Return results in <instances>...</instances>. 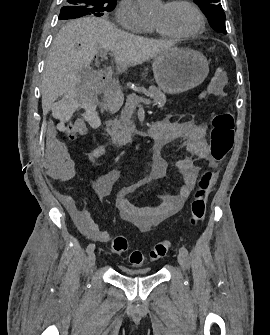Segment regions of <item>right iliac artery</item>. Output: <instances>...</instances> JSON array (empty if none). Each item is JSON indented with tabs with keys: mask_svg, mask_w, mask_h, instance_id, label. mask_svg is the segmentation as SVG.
Wrapping results in <instances>:
<instances>
[{
	"mask_svg": "<svg viewBox=\"0 0 270 335\" xmlns=\"http://www.w3.org/2000/svg\"><path fill=\"white\" fill-rule=\"evenodd\" d=\"M94 249H95V244L90 243V244L87 246L86 251H87L88 253H90L91 251H94Z\"/></svg>",
	"mask_w": 270,
	"mask_h": 335,
	"instance_id": "82829eb1",
	"label": "right iliac artery"
}]
</instances>
